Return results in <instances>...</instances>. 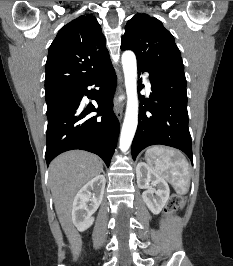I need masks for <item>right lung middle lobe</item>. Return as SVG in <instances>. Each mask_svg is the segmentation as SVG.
<instances>
[{"label": "right lung middle lobe", "mask_w": 233, "mask_h": 266, "mask_svg": "<svg viewBox=\"0 0 233 266\" xmlns=\"http://www.w3.org/2000/svg\"><path fill=\"white\" fill-rule=\"evenodd\" d=\"M73 90H61V91H54V92H50V93H46V103L47 105H50L64 97H66L67 95H69L70 93H72Z\"/></svg>", "instance_id": "obj_1"}]
</instances>
